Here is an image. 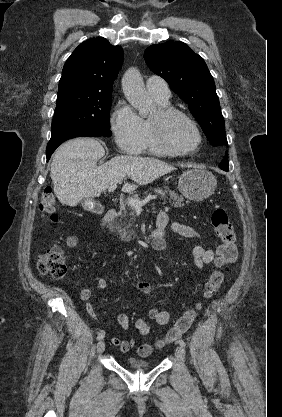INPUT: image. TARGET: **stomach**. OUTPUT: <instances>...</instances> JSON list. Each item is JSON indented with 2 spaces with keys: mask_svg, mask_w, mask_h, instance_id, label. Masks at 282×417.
I'll return each instance as SVG.
<instances>
[{
  "mask_svg": "<svg viewBox=\"0 0 282 417\" xmlns=\"http://www.w3.org/2000/svg\"><path fill=\"white\" fill-rule=\"evenodd\" d=\"M216 186L217 180L214 174L205 168H188L178 180L180 192L189 200L208 198L210 194H214Z\"/></svg>",
  "mask_w": 282,
  "mask_h": 417,
  "instance_id": "1",
  "label": "stomach"
}]
</instances>
